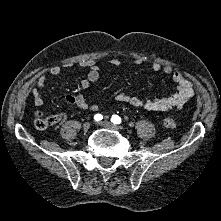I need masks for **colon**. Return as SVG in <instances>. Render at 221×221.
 Returning <instances> with one entry per match:
<instances>
[{
    "label": "colon",
    "instance_id": "5ec220e1",
    "mask_svg": "<svg viewBox=\"0 0 221 221\" xmlns=\"http://www.w3.org/2000/svg\"><path fill=\"white\" fill-rule=\"evenodd\" d=\"M57 121L58 120L55 116L40 117L36 120L35 126L40 130H44L47 127L55 124ZM163 125L167 129H174L177 125V122L174 117L168 116L164 119Z\"/></svg>",
    "mask_w": 221,
    "mask_h": 221
}]
</instances>
